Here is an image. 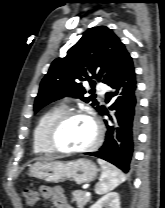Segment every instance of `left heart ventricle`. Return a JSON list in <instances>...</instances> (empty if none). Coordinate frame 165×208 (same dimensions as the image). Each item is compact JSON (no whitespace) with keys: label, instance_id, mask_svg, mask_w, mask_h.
I'll return each instance as SVG.
<instances>
[{"label":"left heart ventricle","instance_id":"obj_1","mask_svg":"<svg viewBox=\"0 0 165 208\" xmlns=\"http://www.w3.org/2000/svg\"><path fill=\"white\" fill-rule=\"evenodd\" d=\"M95 136L92 122L85 117L68 120L58 131L57 144L66 149H81L90 145Z\"/></svg>","mask_w":165,"mask_h":208}]
</instances>
